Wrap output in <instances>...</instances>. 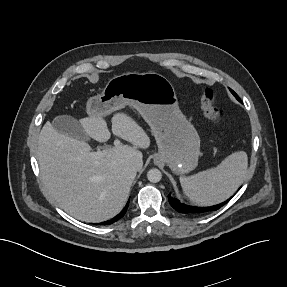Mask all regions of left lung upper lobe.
<instances>
[{"mask_svg": "<svg viewBox=\"0 0 287 287\" xmlns=\"http://www.w3.org/2000/svg\"><path fill=\"white\" fill-rule=\"evenodd\" d=\"M230 91H231L232 94L236 97V99H238V100L240 101V99H239V97L237 96V94H236L233 90H231V89H230Z\"/></svg>", "mask_w": 287, "mask_h": 287, "instance_id": "left-lung-upper-lobe-1", "label": "left lung upper lobe"}]
</instances>
